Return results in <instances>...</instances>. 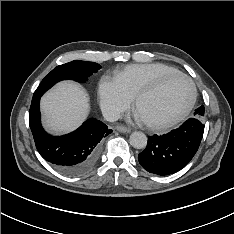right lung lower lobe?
<instances>
[{
  "instance_id": "98d812e1",
  "label": "right lung lower lobe",
  "mask_w": 234,
  "mask_h": 234,
  "mask_svg": "<svg viewBox=\"0 0 234 234\" xmlns=\"http://www.w3.org/2000/svg\"><path fill=\"white\" fill-rule=\"evenodd\" d=\"M39 103L40 97L32 99L29 125L40 155L63 174L75 176L86 172L98 158L101 139L112 130L91 118L72 133L51 136L41 126Z\"/></svg>"
}]
</instances>
